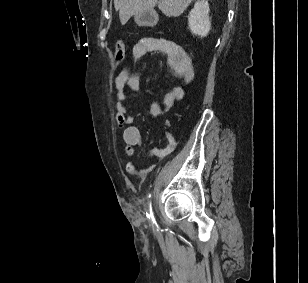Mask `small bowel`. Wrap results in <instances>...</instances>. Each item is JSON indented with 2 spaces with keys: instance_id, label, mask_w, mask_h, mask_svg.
<instances>
[{
  "instance_id": "c3829d8e",
  "label": "small bowel",
  "mask_w": 308,
  "mask_h": 283,
  "mask_svg": "<svg viewBox=\"0 0 308 283\" xmlns=\"http://www.w3.org/2000/svg\"><path fill=\"white\" fill-rule=\"evenodd\" d=\"M162 53L167 56L168 63L175 75L183 80L184 86L189 85L195 77L193 63L188 52L181 46L162 38L145 37L140 39L133 47L132 54L139 59L148 53ZM116 94V119L119 127L123 128V141L125 152L128 157H132L136 146L140 144L141 135L139 129L132 125L133 118L128 114L126 108L125 88L138 91L141 87V76L137 73H130L126 68L122 69L114 80ZM184 86H176L167 93L163 100V105L152 102L150 105V115L158 118L167 112L171 107L185 96ZM167 144L164 148H156L153 155L163 158L171 154L175 149L174 137L166 134ZM153 166L138 167L133 162L126 164V171L130 174H145L151 171Z\"/></svg>"
}]
</instances>
